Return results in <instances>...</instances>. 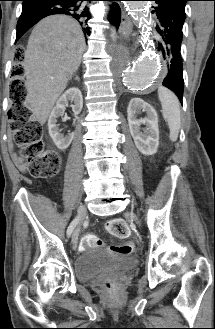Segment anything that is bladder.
Returning <instances> with one entry per match:
<instances>
[{
	"instance_id": "31cf9c89",
	"label": "bladder",
	"mask_w": 215,
	"mask_h": 329,
	"mask_svg": "<svg viewBox=\"0 0 215 329\" xmlns=\"http://www.w3.org/2000/svg\"><path fill=\"white\" fill-rule=\"evenodd\" d=\"M136 257H123L109 254L102 249H86L75 260L77 278L88 282L104 272L128 271L136 267Z\"/></svg>"
}]
</instances>
